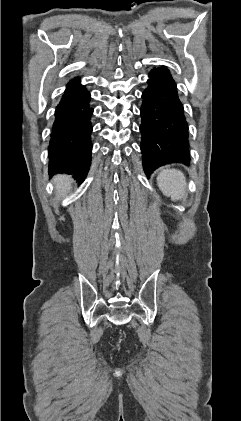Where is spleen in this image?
<instances>
[{
    "label": "spleen",
    "mask_w": 241,
    "mask_h": 421,
    "mask_svg": "<svg viewBox=\"0 0 241 421\" xmlns=\"http://www.w3.org/2000/svg\"><path fill=\"white\" fill-rule=\"evenodd\" d=\"M157 184L162 193L171 197L173 201L181 200L185 196L186 178L179 170L163 169L157 177Z\"/></svg>",
    "instance_id": "3e777b00"
}]
</instances>
